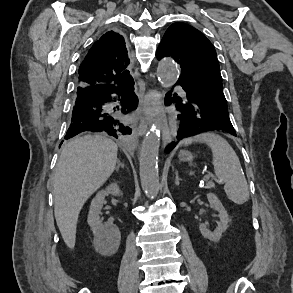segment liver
Listing matches in <instances>:
<instances>
[{"label": "liver", "instance_id": "6515ba94", "mask_svg": "<svg viewBox=\"0 0 293 293\" xmlns=\"http://www.w3.org/2000/svg\"><path fill=\"white\" fill-rule=\"evenodd\" d=\"M117 145L102 135H85L62 150L53 180L54 214L66 245L73 249L79 213L115 170Z\"/></svg>", "mask_w": 293, "mask_h": 293}]
</instances>
